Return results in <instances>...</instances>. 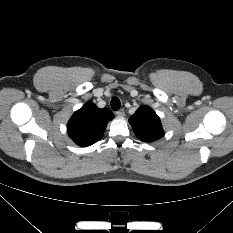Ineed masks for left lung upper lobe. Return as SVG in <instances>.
Here are the masks:
<instances>
[{
	"label": "left lung upper lobe",
	"mask_w": 233,
	"mask_h": 233,
	"mask_svg": "<svg viewBox=\"0 0 233 233\" xmlns=\"http://www.w3.org/2000/svg\"><path fill=\"white\" fill-rule=\"evenodd\" d=\"M136 136L145 142H153L164 135L160 118L148 106H142L129 118Z\"/></svg>",
	"instance_id": "5c2ea615"
}]
</instances>
